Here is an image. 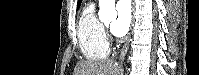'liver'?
<instances>
[{"label": "liver", "mask_w": 199, "mask_h": 75, "mask_svg": "<svg viewBox=\"0 0 199 75\" xmlns=\"http://www.w3.org/2000/svg\"><path fill=\"white\" fill-rule=\"evenodd\" d=\"M74 75H120V68L114 61H81Z\"/></svg>", "instance_id": "6515ba94"}]
</instances>
